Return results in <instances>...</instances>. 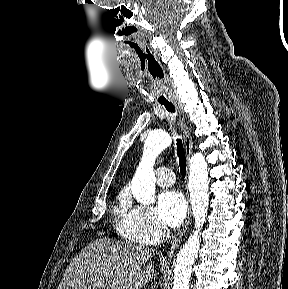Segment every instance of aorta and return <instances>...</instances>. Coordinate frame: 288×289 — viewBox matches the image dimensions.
<instances>
[{
	"label": "aorta",
	"instance_id": "762f6f07",
	"mask_svg": "<svg viewBox=\"0 0 288 289\" xmlns=\"http://www.w3.org/2000/svg\"><path fill=\"white\" fill-rule=\"evenodd\" d=\"M171 144L166 132L149 133L142 159L132 180V194L137 202L150 205L155 202L154 163L157 156ZM189 194L195 220V230L177 254L172 289H189L193 264L200 249V231L209 206L208 165L201 153L190 159Z\"/></svg>",
	"mask_w": 288,
	"mask_h": 289
}]
</instances>
